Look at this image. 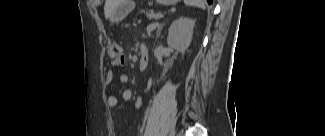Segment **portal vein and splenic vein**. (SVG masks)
I'll list each match as a JSON object with an SVG mask.
<instances>
[{"mask_svg":"<svg viewBox=\"0 0 325 136\" xmlns=\"http://www.w3.org/2000/svg\"><path fill=\"white\" fill-rule=\"evenodd\" d=\"M156 26H158V23L150 24L147 28H148V29H153V28H155Z\"/></svg>","mask_w":325,"mask_h":136,"instance_id":"obj_1","label":"portal vein and splenic vein"}]
</instances>
